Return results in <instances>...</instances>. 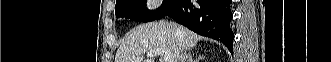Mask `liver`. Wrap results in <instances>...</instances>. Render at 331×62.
<instances>
[{
    "mask_svg": "<svg viewBox=\"0 0 331 62\" xmlns=\"http://www.w3.org/2000/svg\"><path fill=\"white\" fill-rule=\"evenodd\" d=\"M201 39L174 22L142 24L127 34L117 51L115 62H153V59H144V54L156 48L168 50L173 62H179L181 47L192 50Z\"/></svg>",
    "mask_w": 331,
    "mask_h": 62,
    "instance_id": "liver-1",
    "label": "liver"
}]
</instances>
